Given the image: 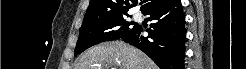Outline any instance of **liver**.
Listing matches in <instances>:
<instances>
[{
	"label": "liver",
	"instance_id": "obj_1",
	"mask_svg": "<svg viewBox=\"0 0 246 69\" xmlns=\"http://www.w3.org/2000/svg\"><path fill=\"white\" fill-rule=\"evenodd\" d=\"M75 67V69H158L143 52L121 41L106 42L88 49Z\"/></svg>",
	"mask_w": 246,
	"mask_h": 69
}]
</instances>
